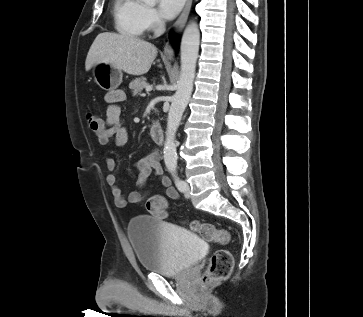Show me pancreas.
Segmentation results:
<instances>
[{
  "instance_id": "cf45deb5",
  "label": "pancreas",
  "mask_w": 363,
  "mask_h": 317,
  "mask_svg": "<svg viewBox=\"0 0 363 317\" xmlns=\"http://www.w3.org/2000/svg\"><path fill=\"white\" fill-rule=\"evenodd\" d=\"M148 86L146 82V78H136L129 84V88L132 90V95L136 96L137 94L141 93V91Z\"/></svg>"
}]
</instances>
